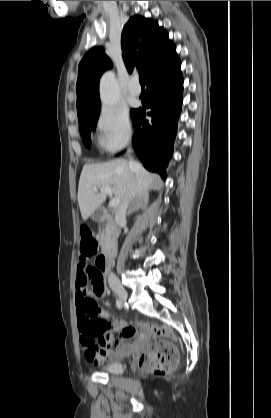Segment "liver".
<instances>
[{"label": "liver", "mask_w": 271, "mask_h": 418, "mask_svg": "<svg viewBox=\"0 0 271 418\" xmlns=\"http://www.w3.org/2000/svg\"><path fill=\"white\" fill-rule=\"evenodd\" d=\"M131 175L136 183L135 196L148 199V188L155 181L156 175L148 172L141 164L135 162L131 167L130 162L123 159L86 164L81 172L77 196L83 220H87L106 200L107 194L98 193V188L111 187L115 197L123 201L128 192Z\"/></svg>", "instance_id": "obj_1"}]
</instances>
